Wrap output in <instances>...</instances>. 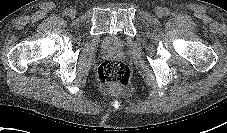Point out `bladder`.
Segmentation results:
<instances>
[{
	"instance_id": "1",
	"label": "bladder",
	"mask_w": 227,
	"mask_h": 133,
	"mask_svg": "<svg viewBox=\"0 0 227 133\" xmlns=\"http://www.w3.org/2000/svg\"><path fill=\"white\" fill-rule=\"evenodd\" d=\"M103 46L106 49L116 50L122 47V41L116 36H108L104 39Z\"/></svg>"
}]
</instances>
